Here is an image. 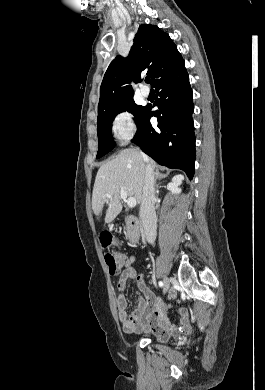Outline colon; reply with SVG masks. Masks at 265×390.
<instances>
[{
	"instance_id": "1",
	"label": "colon",
	"mask_w": 265,
	"mask_h": 390,
	"mask_svg": "<svg viewBox=\"0 0 265 390\" xmlns=\"http://www.w3.org/2000/svg\"><path fill=\"white\" fill-rule=\"evenodd\" d=\"M117 243L115 237L110 233H106L102 236V244L108 249L116 246ZM104 259L109 273L111 275H117L122 267L123 257L114 250H108L104 255Z\"/></svg>"
}]
</instances>
